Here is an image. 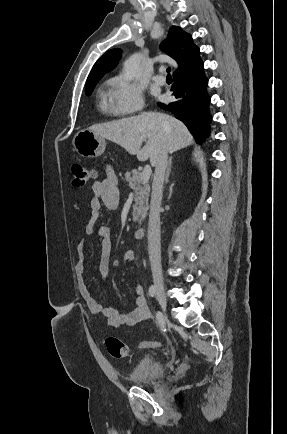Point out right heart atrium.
<instances>
[{
	"mask_svg": "<svg viewBox=\"0 0 287 434\" xmlns=\"http://www.w3.org/2000/svg\"><path fill=\"white\" fill-rule=\"evenodd\" d=\"M108 103L114 114H133L144 105L143 89L125 76H115L109 81Z\"/></svg>",
	"mask_w": 287,
	"mask_h": 434,
	"instance_id": "right-heart-atrium-1",
	"label": "right heart atrium"
}]
</instances>
